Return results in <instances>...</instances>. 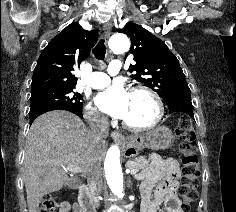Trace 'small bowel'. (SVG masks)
<instances>
[{
    "mask_svg": "<svg viewBox=\"0 0 236 212\" xmlns=\"http://www.w3.org/2000/svg\"><path fill=\"white\" fill-rule=\"evenodd\" d=\"M179 174L178 162L173 158L155 161L142 173V212H158L161 205H165L166 212H184L175 193ZM59 212H80V209L63 202Z\"/></svg>",
    "mask_w": 236,
    "mask_h": 212,
    "instance_id": "obj_1",
    "label": "small bowel"
}]
</instances>
